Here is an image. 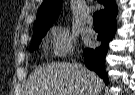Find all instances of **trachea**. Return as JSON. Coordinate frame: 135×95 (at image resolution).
Segmentation results:
<instances>
[{"instance_id": "trachea-1", "label": "trachea", "mask_w": 135, "mask_h": 95, "mask_svg": "<svg viewBox=\"0 0 135 95\" xmlns=\"http://www.w3.org/2000/svg\"><path fill=\"white\" fill-rule=\"evenodd\" d=\"M93 23H94V26H100V18H99L98 12H95L93 14Z\"/></svg>"}]
</instances>
